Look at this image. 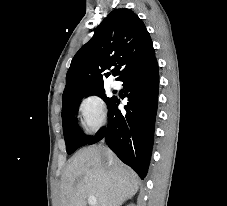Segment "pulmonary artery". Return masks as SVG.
I'll list each match as a JSON object with an SVG mask.
<instances>
[{
  "mask_svg": "<svg viewBox=\"0 0 227 206\" xmlns=\"http://www.w3.org/2000/svg\"><path fill=\"white\" fill-rule=\"evenodd\" d=\"M111 86L114 89H119L120 88V83L118 81L114 80V81L111 82Z\"/></svg>",
  "mask_w": 227,
  "mask_h": 206,
  "instance_id": "e3ab8cb5",
  "label": "pulmonary artery"
}]
</instances>
